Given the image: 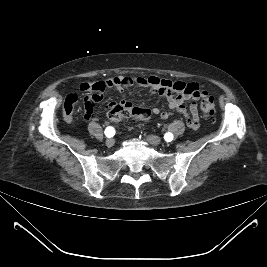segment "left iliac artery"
Listing matches in <instances>:
<instances>
[{"mask_svg":"<svg viewBox=\"0 0 267 267\" xmlns=\"http://www.w3.org/2000/svg\"><path fill=\"white\" fill-rule=\"evenodd\" d=\"M164 139H165V141H167V142L172 141V140H173V135H172V133H166V134L164 135Z\"/></svg>","mask_w":267,"mask_h":267,"instance_id":"1","label":"left iliac artery"}]
</instances>
